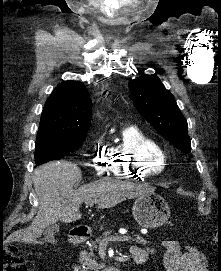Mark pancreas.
<instances>
[{"label":"pancreas","mask_w":221,"mask_h":271,"mask_svg":"<svg viewBox=\"0 0 221 271\" xmlns=\"http://www.w3.org/2000/svg\"><path fill=\"white\" fill-rule=\"evenodd\" d=\"M108 234L111 236L110 239H114V237H112V229H109V231H103V237H96V240H88V245H91V247H89V253L86 249H82V251H80L79 261L80 263H83V265H86L85 269H94V271H99L100 265H104V263H97L96 259H94L92 255H94V249L97 247L98 242H105ZM150 242L151 241H144V237H136L134 239L135 244H144L146 247Z\"/></svg>","instance_id":"pancreas-1"}]
</instances>
